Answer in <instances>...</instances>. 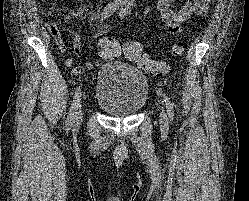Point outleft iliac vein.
<instances>
[{
    "label": "left iliac vein",
    "mask_w": 249,
    "mask_h": 201,
    "mask_svg": "<svg viewBox=\"0 0 249 201\" xmlns=\"http://www.w3.org/2000/svg\"><path fill=\"white\" fill-rule=\"evenodd\" d=\"M160 126L162 130H167L168 128V118L165 112L163 111L161 112V115H160Z\"/></svg>",
    "instance_id": "1"
}]
</instances>
